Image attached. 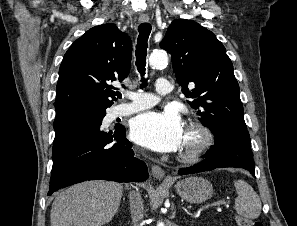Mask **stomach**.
Returning <instances> with one entry per match:
<instances>
[{
    "mask_svg": "<svg viewBox=\"0 0 297 226\" xmlns=\"http://www.w3.org/2000/svg\"><path fill=\"white\" fill-rule=\"evenodd\" d=\"M178 195L191 203H201L213 195V186L207 179L198 176L185 178L175 184Z\"/></svg>",
    "mask_w": 297,
    "mask_h": 226,
    "instance_id": "0dacf381",
    "label": "stomach"
}]
</instances>
